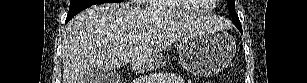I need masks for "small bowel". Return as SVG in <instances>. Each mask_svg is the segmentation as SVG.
Instances as JSON below:
<instances>
[{"label": "small bowel", "mask_w": 307, "mask_h": 83, "mask_svg": "<svg viewBox=\"0 0 307 83\" xmlns=\"http://www.w3.org/2000/svg\"><path fill=\"white\" fill-rule=\"evenodd\" d=\"M157 83H183V80L176 74L163 73Z\"/></svg>", "instance_id": "small-bowel-1"}]
</instances>
